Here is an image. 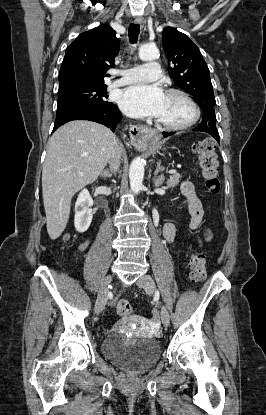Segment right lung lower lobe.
<instances>
[{"instance_id":"98d812e1","label":"right lung lower lobe","mask_w":266,"mask_h":415,"mask_svg":"<svg viewBox=\"0 0 266 415\" xmlns=\"http://www.w3.org/2000/svg\"><path fill=\"white\" fill-rule=\"evenodd\" d=\"M121 119L122 114L115 104L106 107L89 104H63L57 107L56 121L52 132L72 120L98 122L114 131Z\"/></svg>"}]
</instances>
